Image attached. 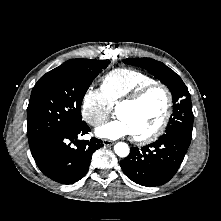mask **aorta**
<instances>
[{
    "label": "aorta",
    "instance_id": "obj_1",
    "mask_svg": "<svg viewBox=\"0 0 221 221\" xmlns=\"http://www.w3.org/2000/svg\"><path fill=\"white\" fill-rule=\"evenodd\" d=\"M114 151L119 157H127L130 149L128 144L119 142L114 146Z\"/></svg>",
    "mask_w": 221,
    "mask_h": 221
}]
</instances>
